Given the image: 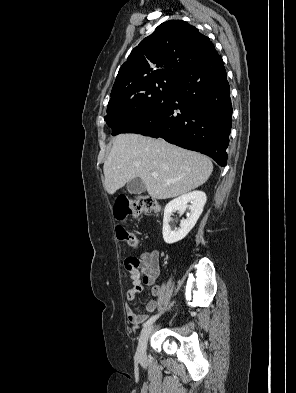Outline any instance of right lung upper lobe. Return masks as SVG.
Masks as SVG:
<instances>
[{
    "label": "right lung upper lobe",
    "mask_w": 296,
    "mask_h": 393,
    "mask_svg": "<svg viewBox=\"0 0 296 393\" xmlns=\"http://www.w3.org/2000/svg\"><path fill=\"white\" fill-rule=\"evenodd\" d=\"M213 46L208 37L185 21L162 23L132 50L121 66L109 103L138 96L156 81H177Z\"/></svg>",
    "instance_id": "cb5924a9"
}]
</instances>
